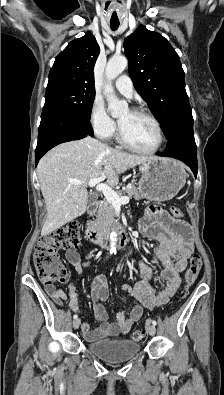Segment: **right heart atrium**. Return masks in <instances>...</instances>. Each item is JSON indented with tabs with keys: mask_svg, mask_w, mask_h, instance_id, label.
Wrapping results in <instances>:
<instances>
[{
	"mask_svg": "<svg viewBox=\"0 0 224 395\" xmlns=\"http://www.w3.org/2000/svg\"><path fill=\"white\" fill-rule=\"evenodd\" d=\"M89 122L94 133L103 139L112 137L116 131L115 121L108 115L104 103L94 99L89 112Z\"/></svg>",
	"mask_w": 224,
	"mask_h": 395,
	"instance_id": "obj_1",
	"label": "right heart atrium"
}]
</instances>
